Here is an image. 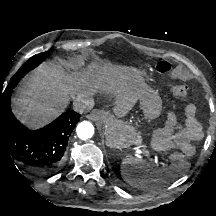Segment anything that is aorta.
<instances>
[{
	"mask_svg": "<svg viewBox=\"0 0 216 216\" xmlns=\"http://www.w3.org/2000/svg\"><path fill=\"white\" fill-rule=\"evenodd\" d=\"M77 135L80 139L86 140L93 136L94 134V127L93 125L88 121H83L80 124H78L76 128Z\"/></svg>",
	"mask_w": 216,
	"mask_h": 216,
	"instance_id": "aorta-1",
	"label": "aorta"
}]
</instances>
